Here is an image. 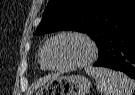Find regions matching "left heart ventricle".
Masks as SVG:
<instances>
[{
  "mask_svg": "<svg viewBox=\"0 0 135 95\" xmlns=\"http://www.w3.org/2000/svg\"><path fill=\"white\" fill-rule=\"evenodd\" d=\"M89 55L87 44L77 37H63L54 42L50 61L55 66H70L86 59Z\"/></svg>",
  "mask_w": 135,
  "mask_h": 95,
  "instance_id": "b2bd125f",
  "label": "left heart ventricle"
}]
</instances>
